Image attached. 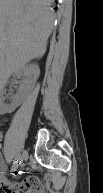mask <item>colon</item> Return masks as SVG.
I'll list each match as a JSON object with an SVG mask.
<instances>
[{"mask_svg": "<svg viewBox=\"0 0 103 193\" xmlns=\"http://www.w3.org/2000/svg\"><path fill=\"white\" fill-rule=\"evenodd\" d=\"M18 191H20V193H26V190L24 187H19Z\"/></svg>", "mask_w": 103, "mask_h": 193, "instance_id": "5ec220e1", "label": "colon"}]
</instances>
